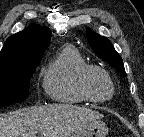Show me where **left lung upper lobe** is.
I'll return each instance as SVG.
<instances>
[{"label": "left lung upper lobe", "instance_id": "obj_1", "mask_svg": "<svg viewBox=\"0 0 144 137\" xmlns=\"http://www.w3.org/2000/svg\"><path fill=\"white\" fill-rule=\"evenodd\" d=\"M87 38L94 52L125 77L126 72L122 59L113 48L111 42L107 38L92 32L89 28L87 29Z\"/></svg>", "mask_w": 144, "mask_h": 137}]
</instances>
